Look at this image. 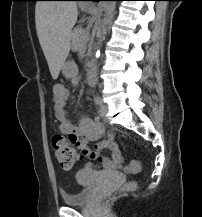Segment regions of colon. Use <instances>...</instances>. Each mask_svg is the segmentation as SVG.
<instances>
[{
  "label": "colon",
  "mask_w": 202,
  "mask_h": 217,
  "mask_svg": "<svg viewBox=\"0 0 202 217\" xmlns=\"http://www.w3.org/2000/svg\"><path fill=\"white\" fill-rule=\"evenodd\" d=\"M52 143L57 161L63 169L70 170L76 161L83 156L82 150L79 151L76 147L69 145L61 135H55ZM125 170L127 173L136 174L141 170V162L134 159L128 163Z\"/></svg>",
  "instance_id": "1"
}]
</instances>
